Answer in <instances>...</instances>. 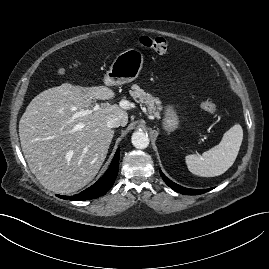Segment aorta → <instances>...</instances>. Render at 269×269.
Wrapping results in <instances>:
<instances>
[{"mask_svg": "<svg viewBox=\"0 0 269 269\" xmlns=\"http://www.w3.org/2000/svg\"><path fill=\"white\" fill-rule=\"evenodd\" d=\"M132 144L137 149H145L149 145V138L147 133L143 131H136L132 134Z\"/></svg>", "mask_w": 269, "mask_h": 269, "instance_id": "obj_1", "label": "aorta"}]
</instances>
